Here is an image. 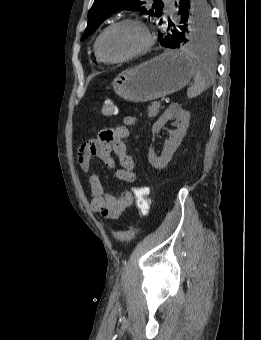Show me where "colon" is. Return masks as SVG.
<instances>
[{
    "mask_svg": "<svg viewBox=\"0 0 261 340\" xmlns=\"http://www.w3.org/2000/svg\"><path fill=\"white\" fill-rule=\"evenodd\" d=\"M116 107L112 101L107 100L101 108V114L104 116H111L115 114ZM135 200V205L139 213L140 219L146 216L151 208V199L149 197V188L145 185L137 186L132 191ZM140 228V222L132 226L129 230L118 232L115 237L120 241H128L135 237Z\"/></svg>",
    "mask_w": 261,
    "mask_h": 340,
    "instance_id": "1",
    "label": "colon"
}]
</instances>
